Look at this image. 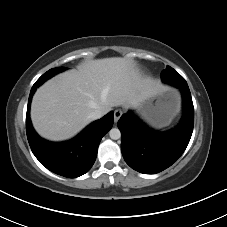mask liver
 I'll use <instances>...</instances> for the list:
<instances>
[{"mask_svg":"<svg viewBox=\"0 0 227 227\" xmlns=\"http://www.w3.org/2000/svg\"><path fill=\"white\" fill-rule=\"evenodd\" d=\"M146 98L144 81L133 60H90L38 88L31 104V120L40 136L62 141L85 128L93 111L137 107Z\"/></svg>","mask_w":227,"mask_h":227,"instance_id":"6515ba94","label":"liver"}]
</instances>
